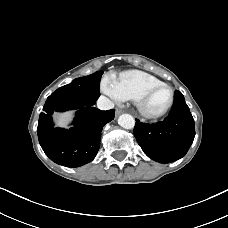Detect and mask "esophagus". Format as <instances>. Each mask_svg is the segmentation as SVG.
Segmentation results:
<instances>
[{"label": "esophagus", "mask_w": 228, "mask_h": 228, "mask_svg": "<svg viewBox=\"0 0 228 228\" xmlns=\"http://www.w3.org/2000/svg\"><path fill=\"white\" fill-rule=\"evenodd\" d=\"M121 113H122L121 109H116V112H115L116 116L120 115Z\"/></svg>", "instance_id": "34e87169"}]
</instances>
